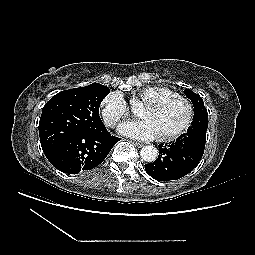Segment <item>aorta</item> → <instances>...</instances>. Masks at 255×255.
<instances>
[{"mask_svg":"<svg viewBox=\"0 0 255 255\" xmlns=\"http://www.w3.org/2000/svg\"><path fill=\"white\" fill-rule=\"evenodd\" d=\"M140 156L144 161L151 163L157 159L158 150L153 145L144 146L140 150Z\"/></svg>","mask_w":255,"mask_h":255,"instance_id":"1","label":"aorta"}]
</instances>
